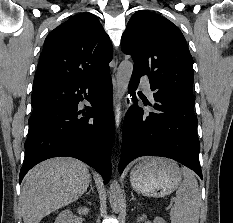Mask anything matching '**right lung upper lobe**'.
I'll list each match as a JSON object with an SVG mask.
<instances>
[{"mask_svg": "<svg viewBox=\"0 0 233 223\" xmlns=\"http://www.w3.org/2000/svg\"><path fill=\"white\" fill-rule=\"evenodd\" d=\"M111 59L112 45L98 18L77 14L46 37L33 90L97 77Z\"/></svg>", "mask_w": 233, "mask_h": 223, "instance_id": "right-lung-upper-lobe-1", "label": "right lung upper lobe"}]
</instances>
